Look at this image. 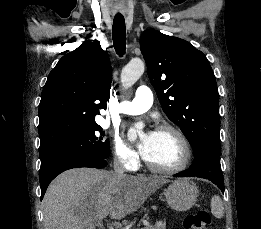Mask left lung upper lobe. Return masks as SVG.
Wrapping results in <instances>:
<instances>
[{
    "instance_id": "left-lung-upper-lobe-1",
    "label": "left lung upper lobe",
    "mask_w": 261,
    "mask_h": 229,
    "mask_svg": "<svg viewBox=\"0 0 261 229\" xmlns=\"http://www.w3.org/2000/svg\"><path fill=\"white\" fill-rule=\"evenodd\" d=\"M140 49L164 112L180 126L193 152L206 144L219 146L218 89L206 56L156 30L143 32Z\"/></svg>"
}]
</instances>
